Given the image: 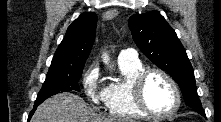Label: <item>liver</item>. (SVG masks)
<instances>
[{
  "label": "liver",
  "instance_id": "liver-1",
  "mask_svg": "<svg viewBox=\"0 0 221 122\" xmlns=\"http://www.w3.org/2000/svg\"><path fill=\"white\" fill-rule=\"evenodd\" d=\"M31 122H133L120 117L96 114L79 96L60 93L45 100L36 110Z\"/></svg>",
  "mask_w": 221,
  "mask_h": 122
}]
</instances>
